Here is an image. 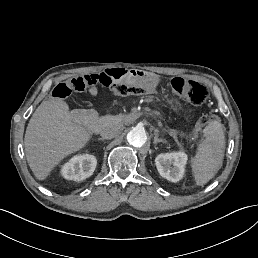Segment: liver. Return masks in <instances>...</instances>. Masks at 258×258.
Instances as JSON below:
<instances>
[{"label":"liver","mask_w":258,"mask_h":258,"mask_svg":"<svg viewBox=\"0 0 258 258\" xmlns=\"http://www.w3.org/2000/svg\"><path fill=\"white\" fill-rule=\"evenodd\" d=\"M85 109L69 111L60 98L43 101L33 113L24 138L26 159L38 180H44L66 156L80 150L91 135L82 121Z\"/></svg>","instance_id":"obj_1"}]
</instances>
